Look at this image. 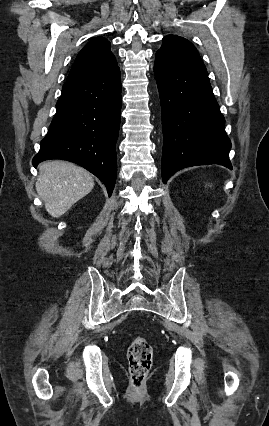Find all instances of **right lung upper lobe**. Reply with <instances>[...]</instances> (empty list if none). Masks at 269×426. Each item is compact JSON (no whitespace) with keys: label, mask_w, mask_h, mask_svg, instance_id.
Masks as SVG:
<instances>
[{"label":"right lung upper lobe","mask_w":269,"mask_h":426,"mask_svg":"<svg viewBox=\"0 0 269 426\" xmlns=\"http://www.w3.org/2000/svg\"><path fill=\"white\" fill-rule=\"evenodd\" d=\"M110 42L103 37L90 40L77 55L67 81L107 74L117 68Z\"/></svg>","instance_id":"1"}]
</instances>
